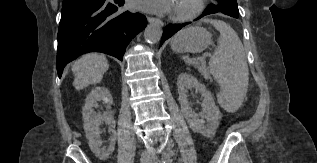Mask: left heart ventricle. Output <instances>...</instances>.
<instances>
[{
  "instance_id": "b2bd125f",
  "label": "left heart ventricle",
  "mask_w": 317,
  "mask_h": 163,
  "mask_svg": "<svg viewBox=\"0 0 317 163\" xmlns=\"http://www.w3.org/2000/svg\"><path fill=\"white\" fill-rule=\"evenodd\" d=\"M191 0H176L173 11H182L188 8Z\"/></svg>"
}]
</instances>
